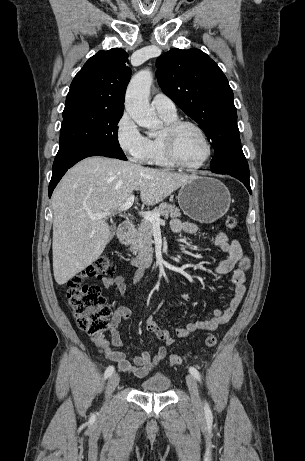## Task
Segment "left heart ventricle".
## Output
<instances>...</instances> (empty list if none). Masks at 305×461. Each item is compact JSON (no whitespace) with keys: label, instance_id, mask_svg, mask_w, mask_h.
Returning <instances> with one entry per match:
<instances>
[{"label":"left heart ventricle","instance_id":"1","mask_svg":"<svg viewBox=\"0 0 305 461\" xmlns=\"http://www.w3.org/2000/svg\"><path fill=\"white\" fill-rule=\"evenodd\" d=\"M176 151L183 162L194 165L205 157L206 146L196 130L184 127L177 136Z\"/></svg>","mask_w":305,"mask_h":461}]
</instances>
